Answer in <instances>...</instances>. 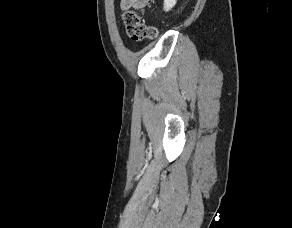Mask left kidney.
<instances>
[{
    "mask_svg": "<svg viewBox=\"0 0 292 228\" xmlns=\"http://www.w3.org/2000/svg\"><path fill=\"white\" fill-rule=\"evenodd\" d=\"M176 1L177 0H164V10L165 11L171 10L175 6Z\"/></svg>",
    "mask_w": 292,
    "mask_h": 228,
    "instance_id": "1",
    "label": "left kidney"
}]
</instances>
